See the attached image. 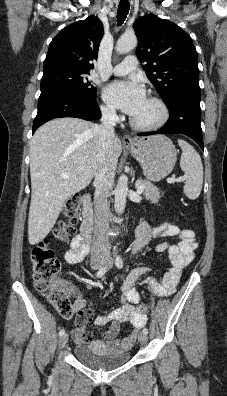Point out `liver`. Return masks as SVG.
Wrapping results in <instances>:
<instances>
[{
  "mask_svg": "<svg viewBox=\"0 0 227 396\" xmlns=\"http://www.w3.org/2000/svg\"><path fill=\"white\" fill-rule=\"evenodd\" d=\"M111 150L117 161L122 152L117 136L111 140ZM101 151L97 125L79 118L53 119L35 132L30 146L31 245L49 234L66 199L90 184L100 166Z\"/></svg>",
  "mask_w": 227,
  "mask_h": 396,
  "instance_id": "liver-1",
  "label": "liver"
}]
</instances>
